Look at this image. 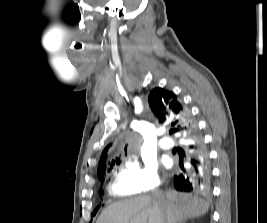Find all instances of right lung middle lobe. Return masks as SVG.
<instances>
[{
	"label": "right lung middle lobe",
	"instance_id": "dd1d6c3e",
	"mask_svg": "<svg viewBox=\"0 0 267 223\" xmlns=\"http://www.w3.org/2000/svg\"><path fill=\"white\" fill-rule=\"evenodd\" d=\"M105 174V173H104ZM104 179V175L100 178V181H102ZM97 210H98V207L94 210V212H93V214L92 215H95L96 214V212H97Z\"/></svg>",
	"mask_w": 267,
	"mask_h": 223
}]
</instances>
